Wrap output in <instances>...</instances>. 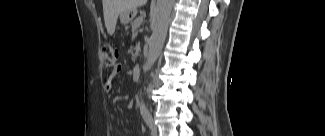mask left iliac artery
I'll use <instances>...</instances> for the list:
<instances>
[{"label": "left iliac artery", "instance_id": "1", "mask_svg": "<svg viewBox=\"0 0 325 136\" xmlns=\"http://www.w3.org/2000/svg\"><path fill=\"white\" fill-rule=\"evenodd\" d=\"M143 119L146 122V124L149 126V128H151L153 126V119L152 116L150 114V112L145 111L142 113Z\"/></svg>", "mask_w": 325, "mask_h": 136}]
</instances>
